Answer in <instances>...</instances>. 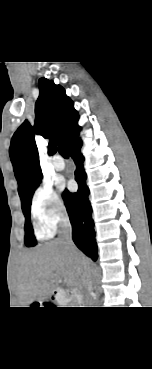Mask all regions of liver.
I'll use <instances>...</instances> for the list:
<instances>
[{
	"label": "liver",
	"instance_id": "liver-1",
	"mask_svg": "<svg viewBox=\"0 0 152 369\" xmlns=\"http://www.w3.org/2000/svg\"><path fill=\"white\" fill-rule=\"evenodd\" d=\"M75 257L90 265L81 252L77 250L71 255L58 240L26 253L17 279L20 303L28 305L34 300L42 302L49 298L60 279L68 286L80 287V262Z\"/></svg>",
	"mask_w": 152,
	"mask_h": 369
}]
</instances>
